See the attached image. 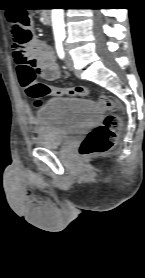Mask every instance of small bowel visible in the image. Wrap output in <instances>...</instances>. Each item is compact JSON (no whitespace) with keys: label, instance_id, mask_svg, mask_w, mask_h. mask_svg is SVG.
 I'll return each mask as SVG.
<instances>
[{"label":"small bowel","instance_id":"c3829d8e","mask_svg":"<svg viewBox=\"0 0 145 278\" xmlns=\"http://www.w3.org/2000/svg\"><path fill=\"white\" fill-rule=\"evenodd\" d=\"M13 1V0H4ZM12 55L17 65V75L20 86L24 77L37 70L40 76L49 81L58 80L61 76L53 49L40 42L34 41L29 48H22L15 43L11 46ZM35 120L32 119V122Z\"/></svg>","mask_w":145,"mask_h":278}]
</instances>
